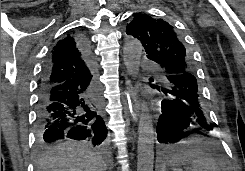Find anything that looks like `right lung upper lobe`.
Returning a JSON list of instances; mask_svg holds the SVG:
<instances>
[{
    "instance_id": "cb5924a9",
    "label": "right lung upper lobe",
    "mask_w": 245,
    "mask_h": 171,
    "mask_svg": "<svg viewBox=\"0 0 245 171\" xmlns=\"http://www.w3.org/2000/svg\"><path fill=\"white\" fill-rule=\"evenodd\" d=\"M73 34L58 41L51 50L48 58L50 69L46 77L47 84L90 75V64L79 47L80 37Z\"/></svg>"
}]
</instances>
